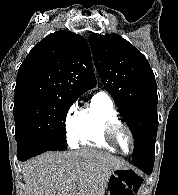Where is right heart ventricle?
<instances>
[{
	"mask_svg": "<svg viewBox=\"0 0 178 195\" xmlns=\"http://www.w3.org/2000/svg\"><path fill=\"white\" fill-rule=\"evenodd\" d=\"M117 121L118 113L111 98L103 92L95 94L82 112L78 142L83 146L117 152L105 138L107 126Z\"/></svg>",
	"mask_w": 178,
	"mask_h": 195,
	"instance_id": "1",
	"label": "right heart ventricle"
}]
</instances>
